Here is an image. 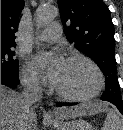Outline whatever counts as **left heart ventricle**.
I'll return each mask as SVG.
<instances>
[{"label": "left heart ventricle", "instance_id": "b2bd125f", "mask_svg": "<svg viewBox=\"0 0 123 130\" xmlns=\"http://www.w3.org/2000/svg\"><path fill=\"white\" fill-rule=\"evenodd\" d=\"M96 84L97 77L94 70L82 61H65L54 83L61 91L76 96L91 93Z\"/></svg>", "mask_w": 123, "mask_h": 130}]
</instances>
